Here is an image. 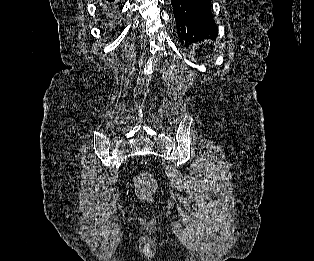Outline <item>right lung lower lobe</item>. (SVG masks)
<instances>
[{"mask_svg":"<svg viewBox=\"0 0 314 261\" xmlns=\"http://www.w3.org/2000/svg\"><path fill=\"white\" fill-rule=\"evenodd\" d=\"M105 3V11L108 14H111L113 12V6L111 3H113L115 0H103Z\"/></svg>","mask_w":314,"mask_h":261,"instance_id":"right-lung-lower-lobe-1","label":"right lung lower lobe"}]
</instances>
